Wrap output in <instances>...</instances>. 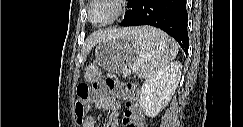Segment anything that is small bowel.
Returning <instances> with one entry per match:
<instances>
[{
	"label": "small bowel",
	"mask_w": 243,
	"mask_h": 127,
	"mask_svg": "<svg viewBox=\"0 0 243 127\" xmlns=\"http://www.w3.org/2000/svg\"><path fill=\"white\" fill-rule=\"evenodd\" d=\"M94 107L96 110H107L109 115L106 121V127H118L119 117L121 114V103L112 97H105L97 99L94 102ZM96 120L93 116H88L84 121V127H95Z\"/></svg>",
	"instance_id": "c3829d8e"
}]
</instances>
